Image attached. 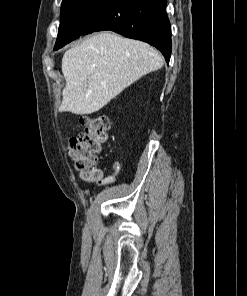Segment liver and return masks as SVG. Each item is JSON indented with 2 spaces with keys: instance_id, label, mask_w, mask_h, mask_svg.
I'll return each mask as SVG.
<instances>
[{
  "instance_id": "6515ba94",
  "label": "liver",
  "mask_w": 247,
  "mask_h": 296,
  "mask_svg": "<svg viewBox=\"0 0 247 296\" xmlns=\"http://www.w3.org/2000/svg\"><path fill=\"white\" fill-rule=\"evenodd\" d=\"M163 58L147 43L100 32L68 49L62 58L66 85L59 111L92 114L146 74Z\"/></svg>"
}]
</instances>
